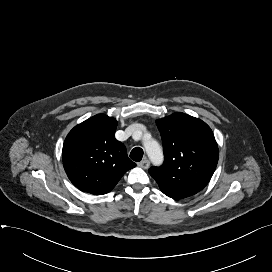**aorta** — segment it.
<instances>
[{"label":"aorta","mask_w":272,"mask_h":272,"mask_svg":"<svg viewBox=\"0 0 272 272\" xmlns=\"http://www.w3.org/2000/svg\"><path fill=\"white\" fill-rule=\"evenodd\" d=\"M144 147L148 157L154 164H160L163 161V151L156 140H145Z\"/></svg>","instance_id":"aorta-1"}]
</instances>
